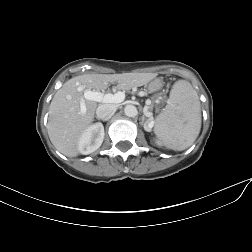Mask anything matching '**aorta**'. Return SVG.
Instances as JSON below:
<instances>
[{"label": "aorta", "mask_w": 252, "mask_h": 252, "mask_svg": "<svg viewBox=\"0 0 252 252\" xmlns=\"http://www.w3.org/2000/svg\"><path fill=\"white\" fill-rule=\"evenodd\" d=\"M124 113L128 117H135L137 115V108L134 105H126Z\"/></svg>", "instance_id": "762f6f07"}]
</instances>
